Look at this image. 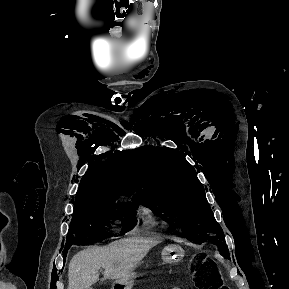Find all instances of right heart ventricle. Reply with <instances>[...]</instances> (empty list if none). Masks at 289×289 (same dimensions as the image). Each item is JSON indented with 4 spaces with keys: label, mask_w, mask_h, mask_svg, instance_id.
<instances>
[{
    "label": "right heart ventricle",
    "mask_w": 289,
    "mask_h": 289,
    "mask_svg": "<svg viewBox=\"0 0 289 289\" xmlns=\"http://www.w3.org/2000/svg\"><path fill=\"white\" fill-rule=\"evenodd\" d=\"M141 215L144 223L151 228L160 229L167 226V223L159 219L150 209H144Z\"/></svg>",
    "instance_id": "e07e8e85"
}]
</instances>
